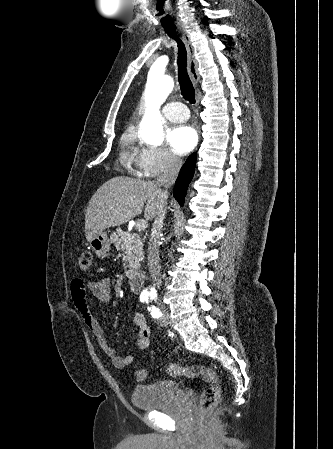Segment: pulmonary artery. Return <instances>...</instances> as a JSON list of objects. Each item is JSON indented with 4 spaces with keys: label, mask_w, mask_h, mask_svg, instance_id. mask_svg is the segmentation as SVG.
Here are the masks:
<instances>
[{
    "label": "pulmonary artery",
    "mask_w": 333,
    "mask_h": 449,
    "mask_svg": "<svg viewBox=\"0 0 333 449\" xmlns=\"http://www.w3.org/2000/svg\"><path fill=\"white\" fill-rule=\"evenodd\" d=\"M162 113L165 118L173 122L183 121L189 117L187 107L181 102H169L165 104L162 108Z\"/></svg>",
    "instance_id": "1"
}]
</instances>
